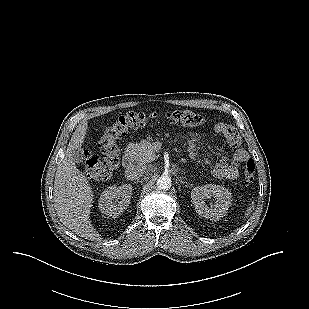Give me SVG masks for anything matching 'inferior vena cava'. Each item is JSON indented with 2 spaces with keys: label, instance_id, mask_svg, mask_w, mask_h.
<instances>
[{
  "label": "inferior vena cava",
  "instance_id": "inferior-vena-cava-1",
  "mask_svg": "<svg viewBox=\"0 0 309 309\" xmlns=\"http://www.w3.org/2000/svg\"><path fill=\"white\" fill-rule=\"evenodd\" d=\"M146 172V166L134 165L125 171V177L127 180H136L142 177Z\"/></svg>",
  "mask_w": 309,
  "mask_h": 309
}]
</instances>
